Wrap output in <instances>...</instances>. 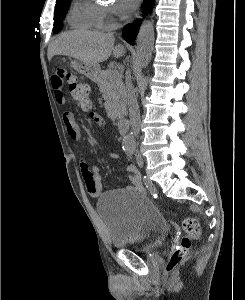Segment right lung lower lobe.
<instances>
[{"label":"right lung lower lobe","mask_w":245,"mask_h":300,"mask_svg":"<svg viewBox=\"0 0 245 300\" xmlns=\"http://www.w3.org/2000/svg\"><path fill=\"white\" fill-rule=\"evenodd\" d=\"M154 3H155L154 0H144L143 7H142L143 16H146V14H148L152 10ZM139 26H140V20H136L133 24H128L123 28L122 31L123 37L131 45L134 44L135 37L139 30Z\"/></svg>","instance_id":"98d812e1"}]
</instances>
